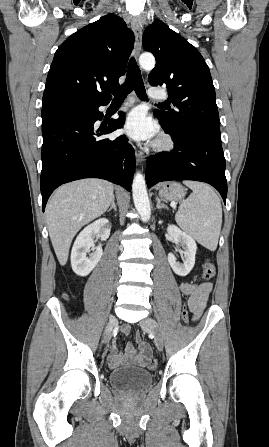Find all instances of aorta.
<instances>
[{"label": "aorta", "instance_id": "obj_1", "mask_svg": "<svg viewBox=\"0 0 269 447\" xmlns=\"http://www.w3.org/2000/svg\"><path fill=\"white\" fill-rule=\"evenodd\" d=\"M139 64L143 70H153V68H155V58L153 54H141V56H139ZM132 192L135 208L138 214H140L142 222H148L151 216V208L145 180L142 174H135L132 184Z\"/></svg>", "mask_w": 269, "mask_h": 447}]
</instances>
